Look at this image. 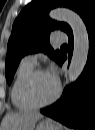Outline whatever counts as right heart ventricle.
I'll return each mask as SVG.
<instances>
[{
  "mask_svg": "<svg viewBox=\"0 0 95 130\" xmlns=\"http://www.w3.org/2000/svg\"><path fill=\"white\" fill-rule=\"evenodd\" d=\"M33 66L34 65L32 64L21 61L15 72L14 79L11 85L10 90L11 101L15 106V108H17L20 111H29L35 108L34 106H32L27 102L23 93V86L25 80L29 75V73L33 70Z\"/></svg>",
  "mask_w": 95,
  "mask_h": 130,
  "instance_id": "1",
  "label": "right heart ventricle"
}]
</instances>
